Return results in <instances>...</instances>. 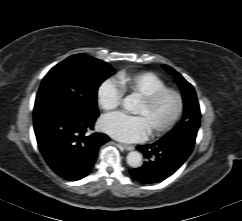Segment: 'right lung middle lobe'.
I'll list each match as a JSON object with an SVG mask.
<instances>
[{"label":"right lung middle lobe","instance_id":"1","mask_svg":"<svg viewBox=\"0 0 242 221\" xmlns=\"http://www.w3.org/2000/svg\"><path fill=\"white\" fill-rule=\"evenodd\" d=\"M113 68L84 54H75L53 67L42 80L34 115L61 111L81 117L98 114L97 90Z\"/></svg>","mask_w":242,"mask_h":221}]
</instances>
